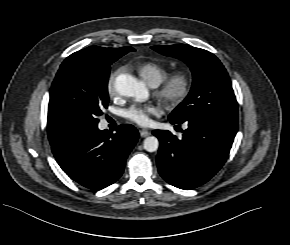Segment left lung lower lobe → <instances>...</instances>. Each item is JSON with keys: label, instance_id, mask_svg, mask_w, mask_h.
<instances>
[{"label": "left lung lower lobe", "instance_id": "left-lung-lower-lobe-1", "mask_svg": "<svg viewBox=\"0 0 290 245\" xmlns=\"http://www.w3.org/2000/svg\"><path fill=\"white\" fill-rule=\"evenodd\" d=\"M188 128L178 139L169 131L154 130L160 147L158 171L171 185L190 190L210 180L224 165L230 152L238 123L224 122L208 114L198 113L184 121L169 120Z\"/></svg>", "mask_w": 290, "mask_h": 245}]
</instances>
